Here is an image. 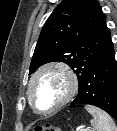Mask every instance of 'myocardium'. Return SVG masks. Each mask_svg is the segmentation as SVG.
Masks as SVG:
<instances>
[{"label": "myocardium", "instance_id": "obj_1", "mask_svg": "<svg viewBox=\"0 0 117 131\" xmlns=\"http://www.w3.org/2000/svg\"><path fill=\"white\" fill-rule=\"evenodd\" d=\"M49 71H59L61 72L67 79L68 83V89L65 94V96L52 108L48 110H40L35 102L34 99V94H33V87L36 82V80L43 74ZM78 90V78L75 72L69 68L66 64L61 63V62H53V63H48L43 66H41L31 77L28 88H27V96L29 103L32 107V109L38 113V114H50L53 113L60 108H62L64 105H66L76 94Z\"/></svg>", "mask_w": 117, "mask_h": 131}]
</instances>
